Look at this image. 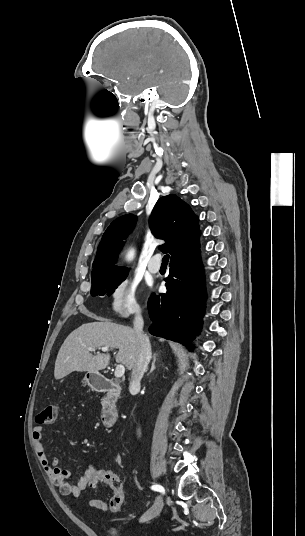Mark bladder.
<instances>
[{"label":"bladder","instance_id":"obj_1","mask_svg":"<svg viewBox=\"0 0 305 536\" xmlns=\"http://www.w3.org/2000/svg\"><path fill=\"white\" fill-rule=\"evenodd\" d=\"M104 530H105L106 536H124L122 534L121 527H118V526L106 524Z\"/></svg>","mask_w":305,"mask_h":536}]
</instances>
